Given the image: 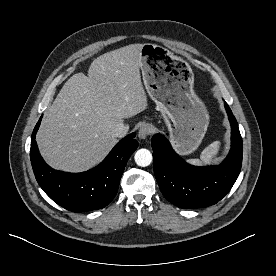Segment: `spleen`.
<instances>
[{
  "mask_svg": "<svg viewBox=\"0 0 276 276\" xmlns=\"http://www.w3.org/2000/svg\"><path fill=\"white\" fill-rule=\"evenodd\" d=\"M220 148V141L213 142L209 147L205 149V151L202 153L200 159H188L187 162L189 164L195 165V166H203L206 164H211L213 161V158L217 155Z\"/></svg>",
  "mask_w": 276,
  "mask_h": 276,
  "instance_id": "obj_1",
  "label": "spleen"
}]
</instances>
